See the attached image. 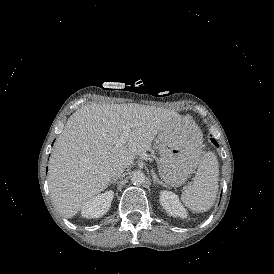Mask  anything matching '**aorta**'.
I'll return each instance as SVG.
<instances>
[{"mask_svg": "<svg viewBox=\"0 0 274 274\" xmlns=\"http://www.w3.org/2000/svg\"><path fill=\"white\" fill-rule=\"evenodd\" d=\"M131 181L134 185H141L146 181V176L142 171L136 170L132 172Z\"/></svg>", "mask_w": 274, "mask_h": 274, "instance_id": "obj_1", "label": "aorta"}]
</instances>
